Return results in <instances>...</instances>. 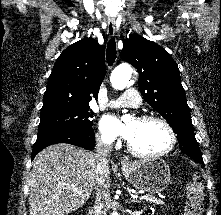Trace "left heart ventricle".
I'll list each match as a JSON object with an SVG mask.
<instances>
[{
	"label": "left heart ventricle",
	"mask_w": 221,
	"mask_h": 215,
	"mask_svg": "<svg viewBox=\"0 0 221 215\" xmlns=\"http://www.w3.org/2000/svg\"><path fill=\"white\" fill-rule=\"evenodd\" d=\"M131 135L128 141L138 151L155 153L162 151L169 145V136L164 126L157 121L129 122Z\"/></svg>",
	"instance_id": "1"
}]
</instances>
